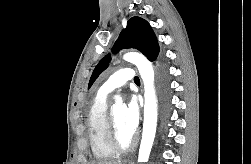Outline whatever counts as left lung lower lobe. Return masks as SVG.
Here are the masks:
<instances>
[{"instance_id":"obj_1","label":"left lung lower lobe","mask_w":251,"mask_h":164,"mask_svg":"<svg viewBox=\"0 0 251 164\" xmlns=\"http://www.w3.org/2000/svg\"><path fill=\"white\" fill-rule=\"evenodd\" d=\"M159 70H160V78L162 82L163 94H164L165 102L167 103L168 102V77H167V71L163 62L159 64Z\"/></svg>"}]
</instances>
